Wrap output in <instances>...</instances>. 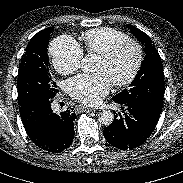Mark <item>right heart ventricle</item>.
Masks as SVG:
<instances>
[{"mask_svg": "<svg viewBox=\"0 0 183 183\" xmlns=\"http://www.w3.org/2000/svg\"><path fill=\"white\" fill-rule=\"evenodd\" d=\"M130 39L122 31L109 27L88 30L82 37L84 49L89 54H100L118 42Z\"/></svg>", "mask_w": 183, "mask_h": 183, "instance_id": "1", "label": "right heart ventricle"}]
</instances>
